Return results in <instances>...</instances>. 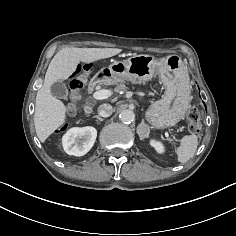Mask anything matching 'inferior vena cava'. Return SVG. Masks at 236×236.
<instances>
[{
  "label": "inferior vena cava",
  "instance_id": "602c4592",
  "mask_svg": "<svg viewBox=\"0 0 236 236\" xmlns=\"http://www.w3.org/2000/svg\"><path fill=\"white\" fill-rule=\"evenodd\" d=\"M113 113V108L110 104H102L98 107V114L102 117H109Z\"/></svg>",
  "mask_w": 236,
  "mask_h": 236
}]
</instances>
